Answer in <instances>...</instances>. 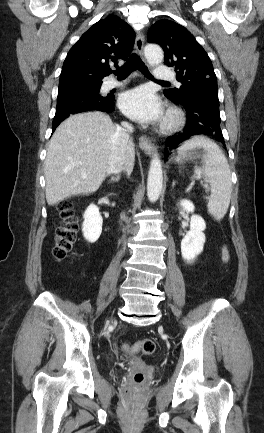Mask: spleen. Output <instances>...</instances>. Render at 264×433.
Wrapping results in <instances>:
<instances>
[{
	"label": "spleen",
	"instance_id": "1",
	"mask_svg": "<svg viewBox=\"0 0 264 433\" xmlns=\"http://www.w3.org/2000/svg\"><path fill=\"white\" fill-rule=\"evenodd\" d=\"M202 148L203 165L196 171L203 174L205 182L210 184L211 195L208 197V212L215 219L221 220L229 207L232 182L227 158L220 147L205 136H195L185 141L177 150V161L189 156V151Z\"/></svg>",
	"mask_w": 264,
	"mask_h": 433
}]
</instances>
